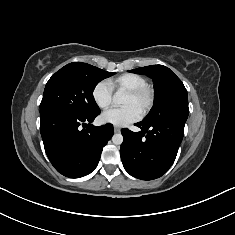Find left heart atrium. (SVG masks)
Returning a JSON list of instances; mask_svg holds the SVG:
<instances>
[{
  "label": "left heart atrium",
  "instance_id": "obj_1",
  "mask_svg": "<svg viewBox=\"0 0 235 235\" xmlns=\"http://www.w3.org/2000/svg\"><path fill=\"white\" fill-rule=\"evenodd\" d=\"M140 111L132 105L111 108L102 114V120L115 126H126L139 120Z\"/></svg>",
  "mask_w": 235,
  "mask_h": 235
}]
</instances>
